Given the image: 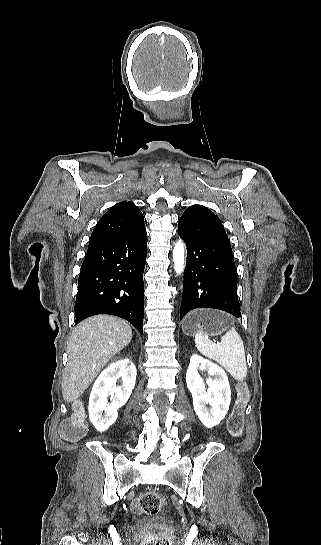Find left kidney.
I'll return each instance as SVG.
<instances>
[{
  "label": "left kidney",
  "mask_w": 321,
  "mask_h": 545,
  "mask_svg": "<svg viewBox=\"0 0 321 545\" xmlns=\"http://www.w3.org/2000/svg\"><path fill=\"white\" fill-rule=\"evenodd\" d=\"M198 369L207 371L209 377H212L207 379L210 393H206L204 379L200 377ZM186 383L192 393L194 411L201 423L207 429L219 425L231 403V389L225 371L200 355H192L186 373ZM206 405H210L211 409Z\"/></svg>",
  "instance_id": "5707ae66"
}]
</instances>
